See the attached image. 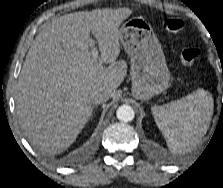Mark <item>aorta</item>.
<instances>
[{
  "instance_id": "1",
  "label": "aorta",
  "mask_w": 223,
  "mask_h": 188,
  "mask_svg": "<svg viewBox=\"0 0 223 188\" xmlns=\"http://www.w3.org/2000/svg\"><path fill=\"white\" fill-rule=\"evenodd\" d=\"M116 116L120 121L130 122L134 119L135 113L131 106L121 105L117 109Z\"/></svg>"
}]
</instances>
